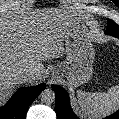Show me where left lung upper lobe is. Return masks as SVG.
Instances as JSON below:
<instances>
[{
    "label": "left lung upper lobe",
    "mask_w": 119,
    "mask_h": 119,
    "mask_svg": "<svg viewBox=\"0 0 119 119\" xmlns=\"http://www.w3.org/2000/svg\"><path fill=\"white\" fill-rule=\"evenodd\" d=\"M106 32L111 34H119V26L112 20L108 19V29Z\"/></svg>",
    "instance_id": "1"
}]
</instances>
